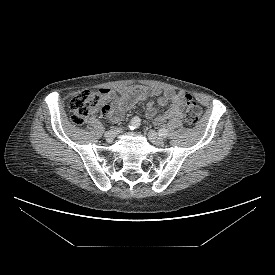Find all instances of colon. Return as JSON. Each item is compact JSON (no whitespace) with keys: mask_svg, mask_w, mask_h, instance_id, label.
Returning a JSON list of instances; mask_svg holds the SVG:
<instances>
[{"mask_svg":"<svg viewBox=\"0 0 275 275\" xmlns=\"http://www.w3.org/2000/svg\"><path fill=\"white\" fill-rule=\"evenodd\" d=\"M183 103L186 107L185 119L187 123L196 124L202 114L200 106L189 94L183 95ZM69 107L72 111V122L76 125H82L92 112L103 111L107 104L100 92L82 91L71 99Z\"/></svg>","mask_w":275,"mask_h":275,"instance_id":"obj_1","label":"colon"}]
</instances>
